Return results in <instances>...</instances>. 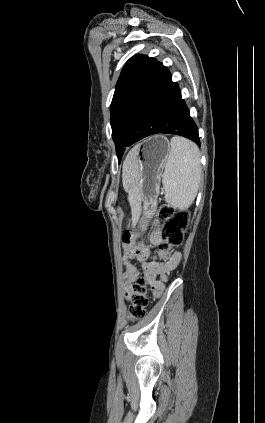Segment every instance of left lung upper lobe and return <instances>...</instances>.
<instances>
[{
    "instance_id": "1",
    "label": "left lung upper lobe",
    "mask_w": 265,
    "mask_h": 423,
    "mask_svg": "<svg viewBox=\"0 0 265 423\" xmlns=\"http://www.w3.org/2000/svg\"><path fill=\"white\" fill-rule=\"evenodd\" d=\"M154 61L145 55L132 57L125 64L117 81L110 111L112 137L119 161L122 158L127 123L134 100Z\"/></svg>"
}]
</instances>
